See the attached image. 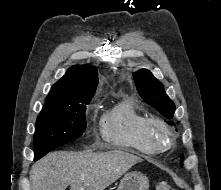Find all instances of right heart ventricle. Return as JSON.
I'll return each instance as SVG.
<instances>
[{
    "instance_id": "1",
    "label": "right heart ventricle",
    "mask_w": 221,
    "mask_h": 190,
    "mask_svg": "<svg viewBox=\"0 0 221 190\" xmlns=\"http://www.w3.org/2000/svg\"><path fill=\"white\" fill-rule=\"evenodd\" d=\"M147 115L130 98L117 100L100 119V133L105 142L117 147L153 154L144 139L143 121Z\"/></svg>"
}]
</instances>
